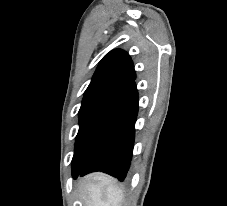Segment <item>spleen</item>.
<instances>
[{
  "mask_svg": "<svg viewBox=\"0 0 227 206\" xmlns=\"http://www.w3.org/2000/svg\"><path fill=\"white\" fill-rule=\"evenodd\" d=\"M99 179L101 183H88L85 186L89 206H120L123 195L119 187L105 176H99Z\"/></svg>",
  "mask_w": 227,
  "mask_h": 206,
  "instance_id": "spleen-1",
  "label": "spleen"
}]
</instances>
